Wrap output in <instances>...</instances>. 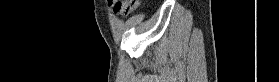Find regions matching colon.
Returning <instances> with one entry per match:
<instances>
[{"label": "colon", "instance_id": "1", "mask_svg": "<svg viewBox=\"0 0 279 82\" xmlns=\"http://www.w3.org/2000/svg\"><path fill=\"white\" fill-rule=\"evenodd\" d=\"M110 2L112 4H124L130 7L137 6L140 3L139 0H125V1L110 0Z\"/></svg>", "mask_w": 279, "mask_h": 82}]
</instances>
